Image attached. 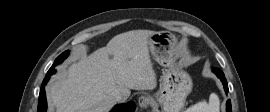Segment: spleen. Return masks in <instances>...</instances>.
Segmentation results:
<instances>
[{
  "mask_svg": "<svg viewBox=\"0 0 270 112\" xmlns=\"http://www.w3.org/2000/svg\"><path fill=\"white\" fill-rule=\"evenodd\" d=\"M220 100L217 94L212 93L209 102L201 101L182 112H219Z\"/></svg>",
  "mask_w": 270,
  "mask_h": 112,
  "instance_id": "spleen-1",
  "label": "spleen"
}]
</instances>
